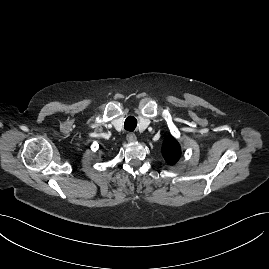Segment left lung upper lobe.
<instances>
[{
  "mask_svg": "<svg viewBox=\"0 0 269 269\" xmlns=\"http://www.w3.org/2000/svg\"><path fill=\"white\" fill-rule=\"evenodd\" d=\"M162 154L168 164H175L181 155L179 143L171 135L167 136L163 142Z\"/></svg>",
  "mask_w": 269,
  "mask_h": 269,
  "instance_id": "1",
  "label": "left lung upper lobe"
}]
</instances>
